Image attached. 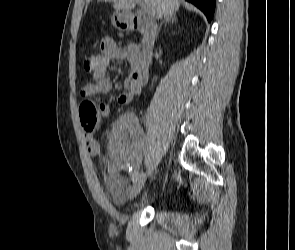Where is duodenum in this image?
Instances as JSON below:
<instances>
[{"instance_id":"1","label":"duodenum","mask_w":295,"mask_h":250,"mask_svg":"<svg viewBox=\"0 0 295 250\" xmlns=\"http://www.w3.org/2000/svg\"><path fill=\"white\" fill-rule=\"evenodd\" d=\"M121 19L128 23L129 29L143 34L142 49L137 58L134 72L136 73L138 80L141 83H144L148 77L147 59L155 46L157 26L143 13L130 12L128 10L121 11Z\"/></svg>"}]
</instances>
